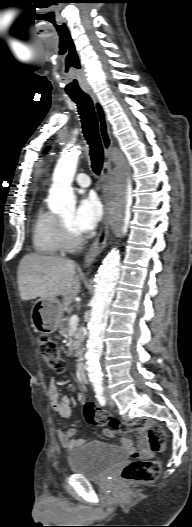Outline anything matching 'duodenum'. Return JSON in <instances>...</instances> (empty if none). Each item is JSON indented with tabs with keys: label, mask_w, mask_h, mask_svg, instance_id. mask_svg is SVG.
<instances>
[{
	"label": "duodenum",
	"mask_w": 192,
	"mask_h": 527,
	"mask_svg": "<svg viewBox=\"0 0 192 527\" xmlns=\"http://www.w3.org/2000/svg\"><path fill=\"white\" fill-rule=\"evenodd\" d=\"M77 372H78V376L80 377V379L86 382L87 381L86 367L83 362L78 363Z\"/></svg>",
	"instance_id": "obj_1"
}]
</instances>
